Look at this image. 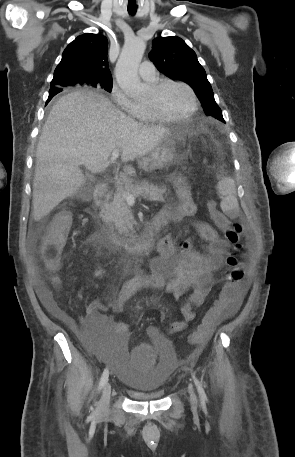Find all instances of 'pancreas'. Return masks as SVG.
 <instances>
[{
  "label": "pancreas",
  "instance_id": "obj_1",
  "mask_svg": "<svg viewBox=\"0 0 295 457\" xmlns=\"http://www.w3.org/2000/svg\"><path fill=\"white\" fill-rule=\"evenodd\" d=\"M166 191V188L145 181L135 184L127 183L124 188L115 193L113 201L109 205L106 219L112 223L119 235L131 236L134 233L135 220L123 194H137V196H142L150 201L164 202Z\"/></svg>",
  "mask_w": 295,
  "mask_h": 457
}]
</instances>
